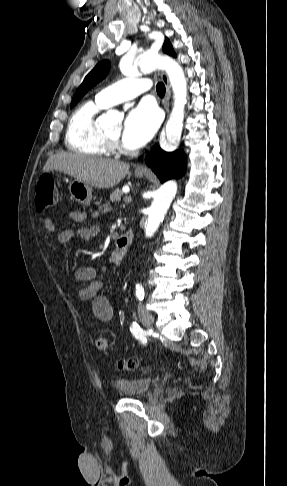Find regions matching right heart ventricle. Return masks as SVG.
Returning a JSON list of instances; mask_svg holds the SVG:
<instances>
[{
    "label": "right heart ventricle",
    "mask_w": 287,
    "mask_h": 486,
    "mask_svg": "<svg viewBox=\"0 0 287 486\" xmlns=\"http://www.w3.org/2000/svg\"><path fill=\"white\" fill-rule=\"evenodd\" d=\"M104 108L97 101H87L75 110L69 120L65 139L71 151L94 157L110 153V145L96 123L98 113Z\"/></svg>",
    "instance_id": "e07e8e85"
}]
</instances>
